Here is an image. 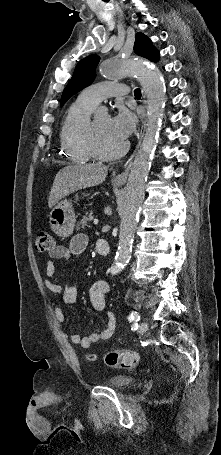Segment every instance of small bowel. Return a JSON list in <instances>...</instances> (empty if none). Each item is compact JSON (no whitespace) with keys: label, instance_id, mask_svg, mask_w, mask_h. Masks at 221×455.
I'll return each mask as SVG.
<instances>
[{"label":"small bowel","instance_id":"1","mask_svg":"<svg viewBox=\"0 0 221 455\" xmlns=\"http://www.w3.org/2000/svg\"><path fill=\"white\" fill-rule=\"evenodd\" d=\"M88 246V238L80 233L75 235L68 246H55L49 253V259L46 261V277L43 281L44 286L54 294L61 297L63 303L73 304L77 298V289L75 286L59 282L55 277V266L53 260L63 259L70 260L75 256L81 255ZM109 293V285L104 280L95 281L89 291L92 307L99 312L105 311L106 296ZM55 319L62 323L65 320L64 313L60 307L54 308ZM106 326L100 331L91 333L88 336L81 337L77 333L71 334V342L75 345L88 349L93 343L107 340L112 337L116 328V317L112 312H106Z\"/></svg>","mask_w":221,"mask_h":455}]
</instances>
